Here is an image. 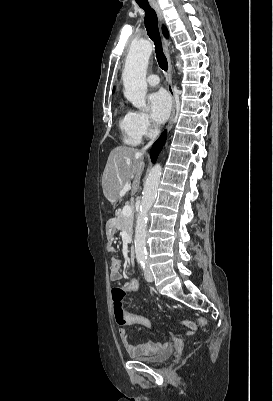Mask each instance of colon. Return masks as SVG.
Returning a JSON list of instances; mask_svg holds the SVG:
<instances>
[{
	"label": "colon",
	"mask_w": 273,
	"mask_h": 401,
	"mask_svg": "<svg viewBox=\"0 0 273 401\" xmlns=\"http://www.w3.org/2000/svg\"><path fill=\"white\" fill-rule=\"evenodd\" d=\"M144 288L142 283H131L126 285L127 291H141ZM125 295V290L123 287H116L115 291L113 292L114 300H113V315L115 319V323L118 326H123L126 323L125 312L122 306V298ZM204 327H208L210 322L208 320H204L202 322ZM192 327H189V330H192ZM194 344H200V339H194Z\"/></svg>",
	"instance_id": "obj_1"
}]
</instances>
